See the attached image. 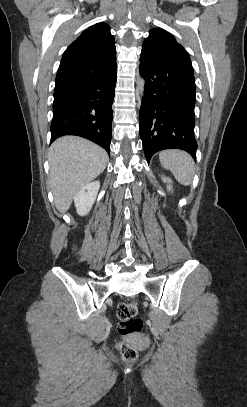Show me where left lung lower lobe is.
<instances>
[{"label": "left lung lower lobe", "instance_id": "1", "mask_svg": "<svg viewBox=\"0 0 247 407\" xmlns=\"http://www.w3.org/2000/svg\"><path fill=\"white\" fill-rule=\"evenodd\" d=\"M139 70L145 79L139 126L147 161L154 153L172 148L196 159L193 73L162 66L143 55Z\"/></svg>", "mask_w": 247, "mask_h": 407}]
</instances>
